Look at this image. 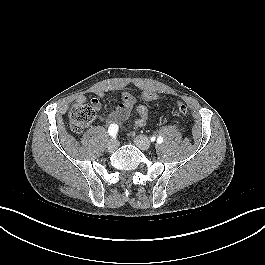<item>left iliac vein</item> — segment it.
Instances as JSON below:
<instances>
[{"instance_id":"4c4485c4","label":"left iliac vein","mask_w":265,"mask_h":265,"mask_svg":"<svg viewBox=\"0 0 265 265\" xmlns=\"http://www.w3.org/2000/svg\"><path fill=\"white\" fill-rule=\"evenodd\" d=\"M134 143L143 151H147L151 147L150 140L144 135L137 136L134 139Z\"/></svg>"}]
</instances>
